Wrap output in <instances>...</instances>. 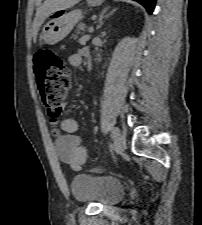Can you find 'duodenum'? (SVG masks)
Instances as JSON below:
<instances>
[{"instance_id": "1", "label": "duodenum", "mask_w": 202, "mask_h": 225, "mask_svg": "<svg viewBox=\"0 0 202 225\" xmlns=\"http://www.w3.org/2000/svg\"><path fill=\"white\" fill-rule=\"evenodd\" d=\"M85 60H86L87 66L92 67V56L90 52L85 53Z\"/></svg>"}]
</instances>
